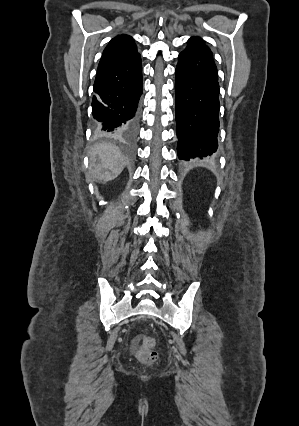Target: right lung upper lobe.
<instances>
[{
  "instance_id": "right-lung-upper-lobe-1",
  "label": "right lung upper lobe",
  "mask_w": 299,
  "mask_h": 426,
  "mask_svg": "<svg viewBox=\"0 0 299 426\" xmlns=\"http://www.w3.org/2000/svg\"><path fill=\"white\" fill-rule=\"evenodd\" d=\"M137 55L139 54L134 40L128 35H119L113 38L105 48L99 66L114 61L130 59Z\"/></svg>"
}]
</instances>
